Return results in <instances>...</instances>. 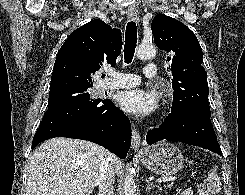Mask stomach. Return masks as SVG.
Wrapping results in <instances>:
<instances>
[{
  "instance_id": "stomach-1",
  "label": "stomach",
  "mask_w": 245,
  "mask_h": 195,
  "mask_svg": "<svg viewBox=\"0 0 245 195\" xmlns=\"http://www.w3.org/2000/svg\"><path fill=\"white\" fill-rule=\"evenodd\" d=\"M143 165L158 175L169 176L183 168L182 152L172 143L162 142L146 147L140 153Z\"/></svg>"
}]
</instances>
